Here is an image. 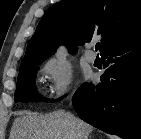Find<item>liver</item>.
I'll use <instances>...</instances> for the list:
<instances>
[{"label": "liver", "instance_id": "liver-1", "mask_svg": "<svg viewBox=\"0 0 141 139\" xmlns=\"http://www.w3.org/2000/svg\"><path fill=\"white\" fill-rule=\"evenodd\" d=\"M93 126L69 112L53 111L45 115L21 112L10 132V139H88Z\"/></svg>", "mask_w": 141, "mask_h": 139}]
</instances>
